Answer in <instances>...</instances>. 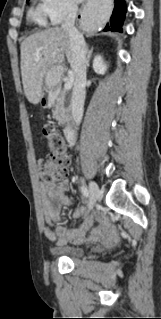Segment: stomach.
<instances>
[{"label":"stomach","instance_id":"obj_1","mask_svg":"<svg viewBox=\"0 0 161 319\" xmlns=\"http://www.w3.org/2000/svg\"><path fill=\"white\" fill-rule=\"evenodd\" d=\"M61 74H62L61 67L56 66L51 68L46 74V76L44 77V84H45L44 89L49 90L51 89V87L56 86L59 82Z\"/></svg>","mask_w":161,"mask_h":319}]
</instances>
